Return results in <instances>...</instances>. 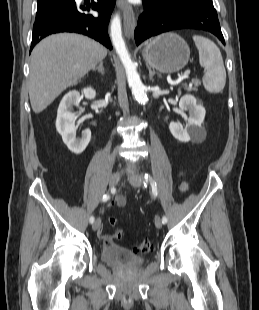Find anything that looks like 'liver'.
I'll return each mask as SVG.
<instances>
[{
	"mask_svg": "<svg viewBox=\"0 0 259 310\" xmlns=\"http://www.w3.org/2000/svg\"><path fill=\"white\" fill-rule=\"evenodd\" d=\"M106 55L103 45L83 35L59 33L43 39L33 49L30 61L29 97L33 111L46 109Z\"/></svg>",
	"mask_w": 259,
	"mask_h": 310,
	"instance_id": "obj_1",
	"label": "liver"
}]
</instances>
